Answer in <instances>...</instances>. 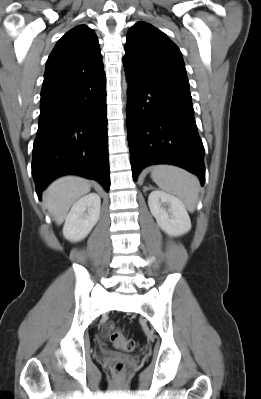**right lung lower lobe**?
<instances>
[{
    "label": "right lung lower lobe",
    "instance_id": "obj_1",
    "mask_svg": "<svg viewBox=\"0 0 261 399\" xmlns=\"http://www.w3.org/2000/svg\"><path fill=\"white\" fill-rule=\"evenodd\" d=\"M105 74L41 97L32 175L36 192L55 178L76 174L109 191Z\"/></svg>",
    "mask_w": 261,
    "mask_h": 399
}]
</instances>
